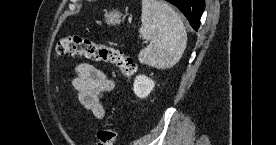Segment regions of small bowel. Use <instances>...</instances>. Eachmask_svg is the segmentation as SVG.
<instances>
[{
	"label": "small bowel",
	"mask_w": 276,
	"mask_h": 145,
	"mask_svg": "<svg viewBox=\"0 0 276 145\" xmlns=\"http://www.w3.org/2000/svg\"><path fill=\"white\" fill-rule=\"evenodd\" d=\"M71 85L83 108L101 119L105 113L103 96L114 90V81L94 65L80 63L75 66V77Z\"/></svg>",
	"instance_id": "small-bowel-1"
}]
</instances>
